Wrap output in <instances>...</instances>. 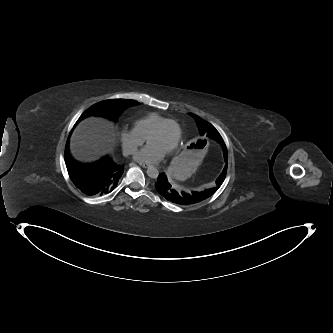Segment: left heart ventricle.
I'll list each match as a JSON object with an SVG mask.
<instances>
[{
  "mask_svg": "<svg viewBox=\"0 0 333 333\" xmlns=\"http://www.w3.org/2000/svg\"><path fill=\"white\" fill-rule=\"evenodd\" d=\"M178 131L175 125L170 124L158 135L153 136L149 143L156 144L162 149L168 150L176 141Z\"/></svg>",
  "mask_w": 333,
  "mask_h": 333,
  "instance_id": "left-heart-ventricle-1",
  "label": "left heart ventricle"
}]
</instances>
